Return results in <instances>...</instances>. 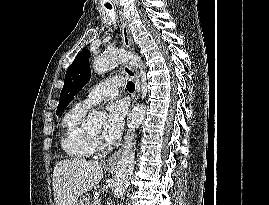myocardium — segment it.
I'll use <instances>...</instances> for the list:
<instances>
[{"mask_svg": "<svg viewBox=\"0 0 269 205\" xmlns=\"http://www.w3.org/2000/svg\"><path fill=\"white\" fill-rule=\"evenodd\" d=\"M90 136L94 143L95 149L99 151H105L109 149V146L102 141L100 136L94 135L93 133H90Z\"/></svg>", "mask_w": 269, "mask_h": 205, "instance_id": "obj_1", "label": "myocardium"}]
</instances>
